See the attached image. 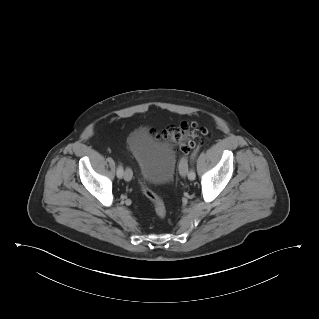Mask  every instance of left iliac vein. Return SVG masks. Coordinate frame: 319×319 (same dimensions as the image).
<instances>
[{"mask_svg": "<svg viewBox=\"0 0 319 319\" xmlns=\"http://www.w3.org/2000/svg\"><path fill=\"white\" fill-rule=\"evenodd\" d=\"M179 170H180V174L181 176L185 177V176H188L189 178V173H188V165H187V159L184 158L180 164V167H179Z\"/></svg>", "mask_w": 319, "mask_h": 319, "instance_id": "1", "label": "left iliac vein"}]
</instances>
